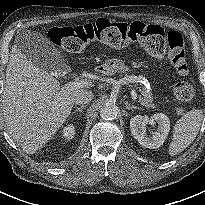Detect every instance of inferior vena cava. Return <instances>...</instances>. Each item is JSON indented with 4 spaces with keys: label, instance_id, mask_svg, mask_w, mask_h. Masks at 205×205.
Segmentation results:
<instances>
[{
    "label": "inferior vena cava",
    "instance_id": "1",
    "mask_svg": "<svg viewBox=\"0 0 205 205\" xmlns=\"http://www.w3.org/2000/svg\"><path fill=\"white\" fill-rule=\"evenodd\" d=\"M93 98V93L91 91H79L75 95L74 102L77 105H83L89 103Z\"/></svg>",
    "mask_w": 205,
    "mask_h": 205
}]
</instances>
